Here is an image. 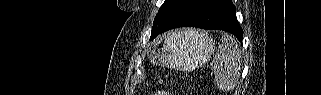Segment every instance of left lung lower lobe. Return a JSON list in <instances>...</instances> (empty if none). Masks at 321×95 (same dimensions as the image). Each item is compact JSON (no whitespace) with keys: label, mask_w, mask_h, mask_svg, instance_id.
I'll use <instances>...</instances> for the list:
<instances>
[{"label":"left lung lower lobe","mask_w":321,"mask_h":95,"mask_svg":"<svg viewBox=\"0 0 321 95\" xmlns=\"http://www.w3.org/2000/svg\"><path fill=\"white\" fill-rule=\"evenodd\" d=\"M183 26L225 30L239 41L243 38L231 0H174L152 31L150 40L167 30Z\"/></svg>","instance_id":"obj_1"}]
</instances>
